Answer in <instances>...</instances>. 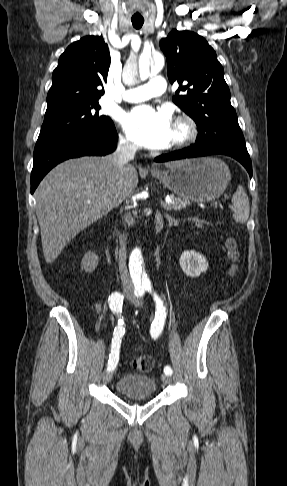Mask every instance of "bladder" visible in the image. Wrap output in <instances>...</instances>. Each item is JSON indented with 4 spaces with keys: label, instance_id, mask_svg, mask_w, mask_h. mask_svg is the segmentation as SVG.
Masks as SVG:
<instances>
[{
    "label": "bladder",
    "instance_id": "bladder-1",
    "mask_svg": "<svg viewBox=\"0 0 287 486\" xmlns=\"http://www.w3.org/2000/svg\"><path fill=\"white\" fill-rule=\"evenodd\" d=\"M116 391L128 397H152L156 394L157 385L153 377L146 374H125L116 384Z\"/></svg>",
    "mask_w": 287,
    "mask_h": 486
}]
</instances>
